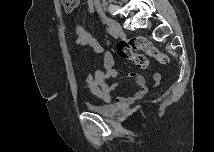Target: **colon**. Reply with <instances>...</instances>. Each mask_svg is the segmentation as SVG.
Segmentation results:
<instances>
[{
  "mask_svg": "<svg viewBox=\"0 0 215 152\" xmlns=\"http://www.w3.org/2000/svg\"><path fill=\"white\" fill-rule=\"evenodd\" d=\"M78 4L77 0H64L63 5L66 12H72ZM133 49L144 51L148 56L156 58L161 63L166 64L168 57L163 52L159 51L151 42L142 37H134L128 40L120 41L117 44V52L122 58L133 61L136 66L146 68L149 64L148 59L138 53H134Z\"/></svg>",
  "mask_w": 215,
  "mask_h": 152,
  "instance_id": "colon-1",
  "label": "colon"
}]
</instances>
